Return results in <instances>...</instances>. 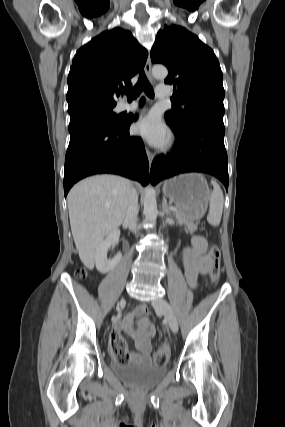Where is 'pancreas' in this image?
I'll return each mask as SVG.
<instances>
[{
	"label": "pancreas",
	"instance_id": "cf45deb5",
	"mask_svg": "<svg viewBox=\"0 0 285 427\" xmlns=\"http://www.w3.org/2000/svg\"><path fill=\"white\" fill-rule=\"evenodd\" d=\"M174 216L181 224H186L190 232H193L197 229V224L189 220L187 216L180 210L174 211Z\"/></svg>",
	"mask_w": 285,
	"mask_h": 427
}]
</instances>
